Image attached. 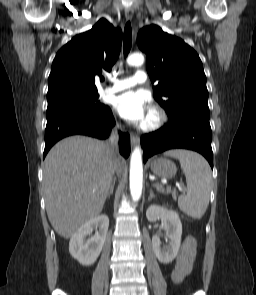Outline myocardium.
Wrapping results in <instances>:
<instances>
[{
  "instance_id": "f54148a6",
  "label": "myocardium",
  "mask_w": 256,
  "mask_h": 295,
  "mask_svg": "<svg viewBox=\"0 0 256 295\" xmlns=\"http://www.w3.org/2000/svg\"><path fill=\"white\" fill-rule=\"evenodd\" d=\"M166 121V114L158 107H153L149 112V119L142 125L145 131H154L160 128Z\"/></svg>"
}]
</instances>
